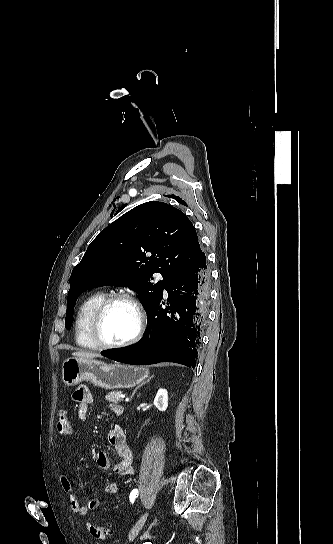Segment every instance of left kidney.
<instances>
[{
  "instance_id": "left-kidney-1",
  "label": "left kidney",
  "mask_w": 333,
  "mask_h": 544,
  "mask_svg": "<svg viewBox=\"0 0 333 544\" xmlns=\"http://www.w3.org/2000/svg\"><path fill=\"white\" fill-rule=\"evenodd\" d=\"M154 405L160 411H166L168 407V392L166 389H159L155 398Z\"/></svg>"
}]
</instances>
